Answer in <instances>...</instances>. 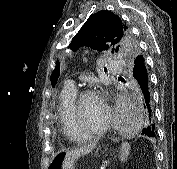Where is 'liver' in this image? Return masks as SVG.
Instances as JSON below:
<instances>
[{"instance_id":"1","label":"liver","mask_w":177,"mask_h":169,"mask_svg":"<svg viewBox=\"0 0 177 169\" xmlns=\"http://www.w3.org/2000/svg\"><path fill=\"white\" fill-rule=\"evenodd\" d=\"M94 147H95V144H91L85 147H81V148L66 152V155L63 160V168L74 169L75 160L82 155L88 154Z\"/></svg>"}]
</instances>
